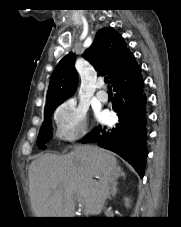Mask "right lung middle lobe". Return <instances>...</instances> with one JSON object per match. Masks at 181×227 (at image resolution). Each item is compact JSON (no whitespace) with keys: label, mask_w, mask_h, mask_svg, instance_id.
<instances>
[{"label":"right lung middle lobe","mask_w":181,"mask_h":227,"mask_svg":"<svg viewBox=\"0 0 181 227\" xmlns=\"http://www.w3.org/2000/svg\"><path fill=\"white\" fill-rule=\"evenodd\" d=\"M57 106L58 105H53V106L45 108V121L42 124V126L40 128L39 135H38V146H39V148L46 149L47 148L46 143L52 137L50 118H51L53 111L55 110V108Z\"/></svg>","instance_id":"dd1d6c3e"}]
</instances>
